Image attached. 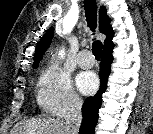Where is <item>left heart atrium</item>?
Returning a JSON list of instances; mask_svg holds the SVG:
<instances>
[{
	"label": "left heart atrium",
	"mask_w": 153,
	"mask_h": 134,
	"mask_svg": "<svg viewBox=\"0 0 153 134\" xmlns=\"http://www.w3.org/2000/svg\"><path fill=\"white\" fill-rule=\"evenodd\" d=\"M76 83L82 93L91 94L98 87V78L93 72H81L76 78Z\"/></svg>",
	"instance_id": "39dd6f15"
}]
</instances>
